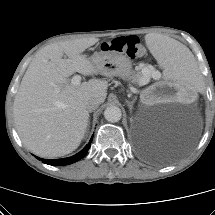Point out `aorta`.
Segmentation results:
<instances>
[{
	"label": "aorta",
	"mask_w": 215,
	"mask_h": 215,
	"mask_svg": "<svg viewBox=\"0 0 215 215\" xmlns=\"http://www.w3.org/2000/svg\"><path fill=\"white\" fill-rule=\"evenodd\" d=\"M104 117L108 122H118L122 117L121 109L117 106H108L104 111Z\"/></svg>",
	"instance_id": "762f6f07"
}]
</instances>
